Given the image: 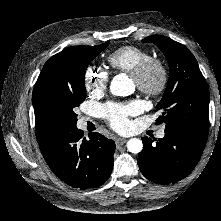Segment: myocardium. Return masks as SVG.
<instances>
[{"mask_svg":"<svg viewBox=\"0 0 221 221\" xmlns=\"http://www.w3.org/2000/svg\"><path fill=\"white\" fill-rule=\"evenodd\" d=\"M138 89L149 97L161 95L169 83L166 64L158 58L143 62L132 74Z\"/></svg>","mask_w":221,"mask_h":221,"instance_id":"1","label":"myocardium"}]
</instances>
